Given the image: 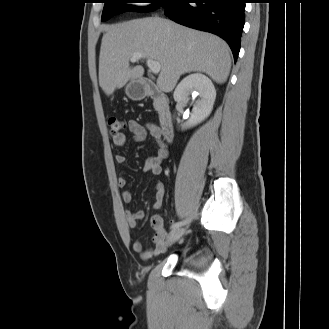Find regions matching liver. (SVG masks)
<instances>
[{
  "label": "liver",
  "mask_w": 329,
  "mask_h": 329,
  "mask_svg": "<svg viewBox=\"0 0 329 329\" xmlns=\"http://www.w3.org/2000/svg\"><path fill=\"white\" fill-rule=\"evenodd\" d=\"M105 31L99 56V84L107 96L128 81L142 79L144 68L129 66L134 53L160 63L157 86L164 92L172 91L185 73L203 72L217 83L228 78L229 47L215 35L159 17L110 25Z\"/></svg>",
  "instance_id": "6515ba94"
}]
</instances>
